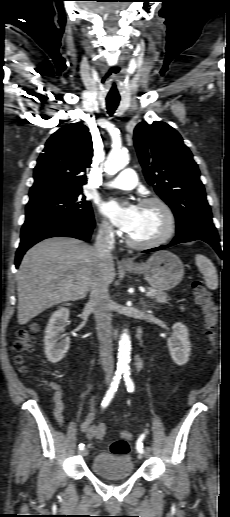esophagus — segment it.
Segmentation results:
<instances>
[{
  "label": "esophagus",
  "instance_id": "1",
  "mask_svg": "<svg viewBox=\"0 0 230 517\" xmlns=\"http://www.w3.org/2000/svg\"><path fill=\"white\" fill-rule=\"evenodd\" d=\"M121 264H122V265H126V266H127V265H132V264H133V262H132L130 259H128V258H123V259L121 260Z\"/></svg>",
  "mask_w": 230,
  "mask_h": 517
}]
</instances>
